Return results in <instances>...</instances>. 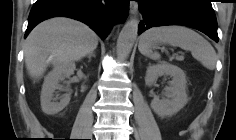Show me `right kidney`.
<instances>
[{"label":"right kidney","instance_id":"ca27d5eb","mask_svg":"<svg viewBox=\"0 0 236 140\" xmlns=\"http://www.w3.org/2000/svg\"><path fill=\"white\" fill-rule=\"evenodd\" d=\"M75 70L73 62L57 64L53 70L45 77L41 91V108L47 115H55L63 110L70 101V94H64L59 98H54L55 90H63L59 85L60 81L69 78Z\"/></svg>","mask_w":236,"mask_h":140}]
</instances>
